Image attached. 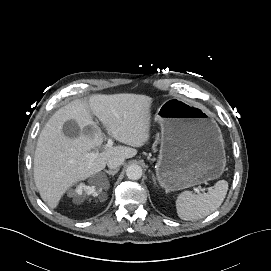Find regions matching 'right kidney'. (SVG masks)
<instances>
[{"mask_svg": "<svg viewBox=\"0 0 271 271\" xmlns=\"http://www.w3.org/2000/svg\"><path fill=\"white\" fill-rule=\"evenodd\" d=\"M101 191H102V187L100 186H96V185L87 186L81 183L77 186L74 193L75 195H79V196L82 194L97 196Z\"/></svg>", "mask_w": 271, "mask_h": 271, "instance_id": "obj_1", "label": "right kidney"}]
</instances>
